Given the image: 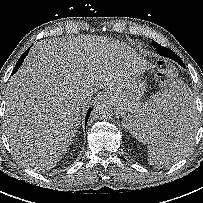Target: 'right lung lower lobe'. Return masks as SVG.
Returning a JSON list of instances; mask_svg holds the SVG:
<instances>
[{
  "label": "right lung lower lobe",
  "instance_id": "obj_1",
  "mask_svg": "<svg viewBox=\"0 0 203 203\" xmlns=\"http://www.w3.org/2000/svg\"><path fill=\"white\" fill-rule=\"evenodd\" d=\"M28 53H29V49L26 50V51L24 52V54L20 57V59L18 60V62H17V64H16V66H15V68H14L12 74L15 73V72L19 69V67L21 66L22 62L24 61V59H25V57L27 56ZM90 112H91V109H89L88 112H87V114H86L85 124H87V120H88V118H89V116H90Z\"/></svg>",
  "mask_w": 203,
  "mask_h": 203
}]
</instances>
